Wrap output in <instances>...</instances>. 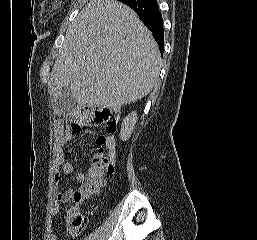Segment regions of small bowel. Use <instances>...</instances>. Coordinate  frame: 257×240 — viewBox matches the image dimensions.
I'll list each match as a JSON object with an SVG mask.
<instances>
[{
	"label": "small bowel",
	"mask_w": 257,
	"mask_h": 240,
	"mask_svg": "<svg viewBox=\"0 0 257 240\" xmlns=\"http://www.w3.org/2000/svg\"><path fill=\"white\" fill-rule=\"evenodd\" d=\"M74 124H71L65 128L58 129L56 134L55 140V152H54V180L56 187L59 184L61 175H71L74 172L73 164L66 159L67 150L65 146L68 142H70L73 138L79 136L82 132L81 129H75ZM106 147L108 152L115 157L116 153V144L113 138H108L106 142ZM77 182H83L86 178L85 174L79 172L75 176ZM73 194L72 189H67L65 191H57L56 199L53 201L51 209H50V218L51 220L58 214L59 212V205L60 203H68L70 198ZM78 232L73 230L72 228L69 229V234L71 236L76 235ZM47 240H64L60 237L52 227L48 229Z\"/></svg>",
	"instance_id": "obj_1"
}]
</instances>
